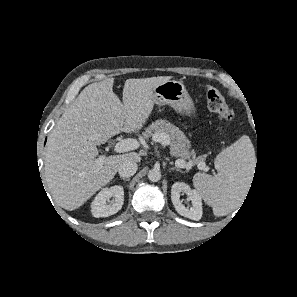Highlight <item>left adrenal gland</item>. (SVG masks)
<instances>
[{"mask_svg": "<svg viewBox=\"0 0 297 297\" xmlns=\"http://www.w3.org/2000/svg\"><path fill=\"white\" fill-rule=\"evenodd\" d=\"M171 170H177V171H181L179 168L177 167H172Z\"/></svg>", "mask_w": 297, "mask_h": 297, "instance_id": "obj_1", "label": "left adrenal gland"}]
</instances>
